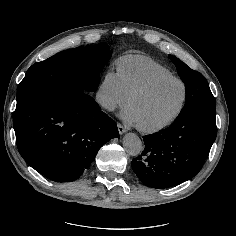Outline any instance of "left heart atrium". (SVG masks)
Segmentation results:
<instances>
[{
  "mask_svg": "<svg viewBox=\"0 0 236 236\" xmlns=\"http://www.w3.org/2000/svg\"><path fill=\"white\" fill-rule=\"evenodd\" d=\"M121 117L129 123H136L135 115H134L133 111L131 110V108L126 109L121 114Z\"/></svg>",
  "mask_w": 236,
  "mask_h": 236,
  "instance_id": "1",
  "label": "left heart atrium"
}]
</instances>
